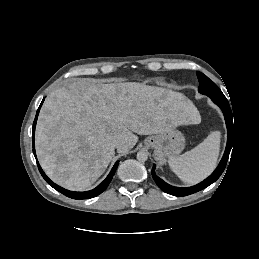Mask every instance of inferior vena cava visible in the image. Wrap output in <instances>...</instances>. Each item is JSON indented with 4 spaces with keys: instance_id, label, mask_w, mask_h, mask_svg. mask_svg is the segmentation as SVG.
Returning a JSON list of instances; mask_svg holds the SVG:
<instances>
[{
    "instance_id": "inferior-vena-cava-1",
    "label": "inferior vena cava",
    "mask_w": 259,
    "mask_h": 259,
    "mask_svg": "<svg viewBox=\"0 0 259 259\" xmlns=\"http://www.w3.org/2000/svg\"><path fill=\"white\" fill-rule=\"evenodd\" d=\"M113 144H114V147H115V148L119 149V148L123 145V141L120 140V139H115V140L113 141Z\"/></svg>"
}]
</instances>
